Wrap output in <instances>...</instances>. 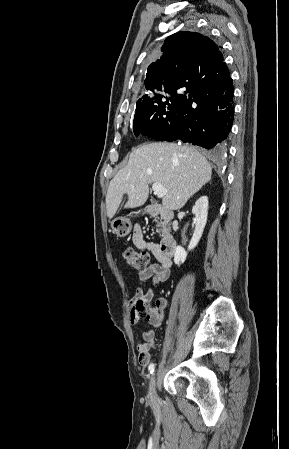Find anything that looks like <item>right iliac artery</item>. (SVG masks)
<instances>
[{"instance_id":"82829eb1","label":"right iliac artery","mask_w":289,"mask_h":449,"mask_svg":"<svg viewBox=\"0 0 289 449\" xmlns=\"http://www.w3.org/2000/svg\"><path fill=\"white\" fill-rule=\"evenodd\" d=\"M154 369H155V364H154V363H151V364L149 365V367H148V370H149L150 374H152V373L154 372Z\"/></svg>"}]
</instances>
